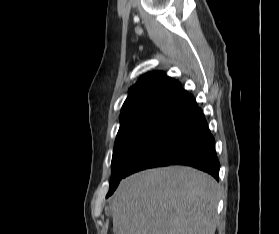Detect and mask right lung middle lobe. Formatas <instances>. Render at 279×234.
Returning a JSON list of instances; mask_svg holds the SVG:
<instances>
[{
    "instance_id": "dd1d6c3e",
    "label": "right lung middle lobe",
    "mask_w": 279,
    "mask_h": 234,
    "mask_svg": "<svg viewBox=\"0 0 279 234\" xmlns=\"http://www.w3.org/2000/svg\"><path fill=\"white\" fill-rule=\"evenodd\" d=\"M170 110L171 107H152L120 115L121 125L114 145L112 177L107 197L125 177L127 166L137 150Z\"/></svg>"
}]
</instances>
